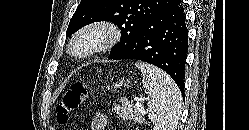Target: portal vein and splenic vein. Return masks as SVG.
Masks as SVG:
<instances>
[{
	"mask_svg": "<svg viewBox=\"0 0 249 130\" xmlns=\"http://www.w3.org/2000/svg\"><path fill=\"white\" fill-rule=\"evenodd\" d=\"M135 101H137V105H139V100L135 99ZM143 114H145V111H142Z\"/></svg>",
	"mask_w": 249,
	"mask_h": 130,
	"instance_id": "obj_1",
	"label": "portal vein and splenic vein"
}]
</instances>
